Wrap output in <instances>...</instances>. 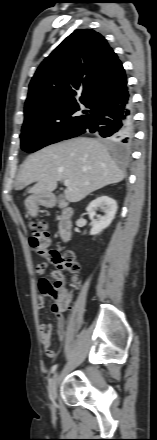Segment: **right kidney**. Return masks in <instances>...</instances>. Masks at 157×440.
<instances>
[{"instance_id": "ca27d5eb", "label": "right kidney", "mask_w": 157, "mask_h": 440, "mask_svg": "<svg viewBox=\"0 0 157 440\" xmlns=\"http://www.w3.org/2000/svg\"><path fill=\"white\" fill-rule=\"evenodd\" d=\"M97 208L103 210L105 215L99 217L98 219H94V216L96 215L95 210ZM86 211L92 221L90 235H97L107 228L113 221L117 211V203L114 199L106 195H102L93 200L86 208Z\"/></svg>"}]
</instances>
